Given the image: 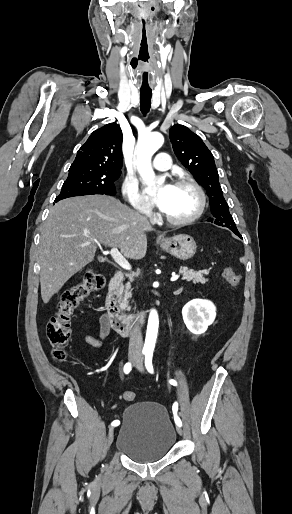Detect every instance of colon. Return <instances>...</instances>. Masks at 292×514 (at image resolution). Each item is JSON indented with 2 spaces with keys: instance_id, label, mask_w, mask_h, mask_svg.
Segmentation results:
<instances>
[{
  "instance_id": "obj_1",
  "label": "colon",
  "mask_w": 292,
  "mask_h": 514,
  "mask_svg": "<svg viewBox=\"0 0 292 514\" xmlns=\"http://www.w3.org/2000/svg\"><path fill=\"white\" fill-rule=\"evenodd\" d=\"M84 278L66 289L60 296L54 315L46 325L47 339L52 347L55 361L61 362L66 357L71 338V320L79 305L92 293L101 290L105 283L104 276L95 271L92 265L85 268ZM231 288L236 290L240 283V274L230 267L222 270ZM123 399L128 403L135 402V394L126 392Z\"/></svg>"
}]
</instances>
